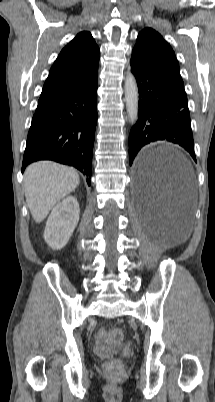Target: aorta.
Returning a JSON list of instances; mask_svg holds the SVG:
<instances>
[{
  "instance_id": "1",
  "label": "aorta",
  "mask_w": 215,
  "mask_h": 402,
  "mask_svg": "<svg viewBox=\"0 0 215 402\" xmlns=\"http://www.w3.org/2000/svg\"><path fill=\"white\" fill-rule=\"evenodd\" d=\"M125 100L128 118L131 124L138 120L139 93L136 79L132 73H128L125 79Z\"/></svg>"
}]
</instances>
